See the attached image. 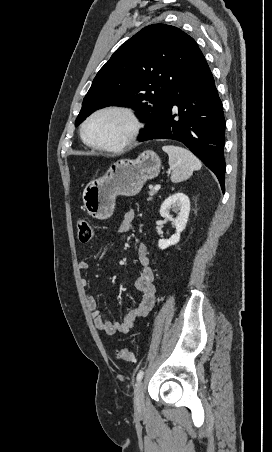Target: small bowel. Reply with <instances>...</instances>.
<instances>
[{
    "mask_svg": "<svg viewBox=\"0 0 272 452\" xmlns=\"http://www.w3.org/2000/svg\"><path fill=\"white\" fill-rule=\"evenodd\" d=\"M134 211L130 210L123 215L118 231L121 234L128 233L133 225ZM137 261L141 267L140 274L134 281V286L141 294L140 303L130 309L122 321H110L98 310L97 301L93 296L87 298V307L92 313L95 328L107 335H124L134 327L137 320L148 315L152 310L156 300V287L154 285V271L150 266L147 247L144 243H139L136 248ZM89 262L82 260L78 263V268L82 271L89 269ZM84 287L89 285L87 278L81 279Z\"/></svg>",
    "mask_w": 272,
    "mask_h": 452,
    "instance_id": "c3829d8e",
    "label": "small bowel"
}]
</instances>
